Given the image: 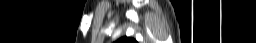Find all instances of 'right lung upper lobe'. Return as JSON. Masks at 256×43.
I'll list each match as a JSON object with an SVG mask.
<instances>
[{"instance_id": "1", "label": "right lung upper lobe", "mask_w": 256, "mask_h": 43, "mask_svg": "<svg viewBox=\"0 0 256 43\" xmlns=\"http://www.w3.org/2000/svg\"><path fill=\"white\" fill-rule=\"evenodd\" d=\"M116 43H137L135 40L128 38V37H123L116 41Z\"/></svg>"}]
</instances>
